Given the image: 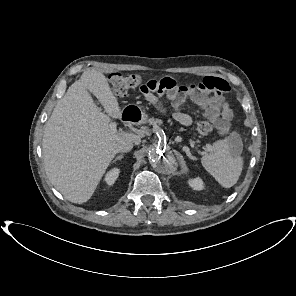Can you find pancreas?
Here are the masks:
<instances>
[{
    "instance_id": "pancreas-1",
    "label": "pancreas",
    "mask_w": 296,
    "mask_h": 296,
    "mask_svg": "<svg viewBox=\"0 0 296 296\" xmlns=\"http://www.w3.org/2000/svg\"><path fill=\"white\" fill-rule=\"evenodd\" d=\"M150 124H152V125H161L162 124V121L161 120H159V119H149V121H148Z\"/></svg>"
}]
</instances>
